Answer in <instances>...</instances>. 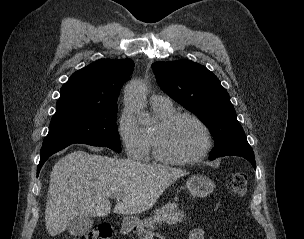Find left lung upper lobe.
Segmentation results:
<instances>
[{
  "label": "left lung upper lobe",
  "mask_w": 304,
  "mask_h": 239,
  "mask_svg": "<svg viewBox=\"0 0 304 239\" xmlns=\"http://www.w3.org/2000/svg\"><path fill=\"white\" fill-rule=\"evenodd\" d=\"M152 69L160 88L210 129L216 144L210 157H254L229 94L211 71L190 60L155 62Z\"/></svg>",
  "instance_id": "5c2ea615"
}]
</instances>
